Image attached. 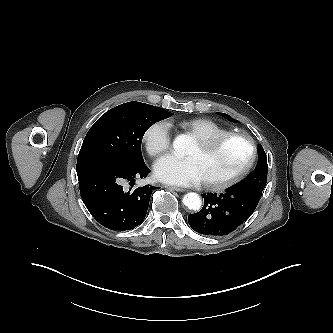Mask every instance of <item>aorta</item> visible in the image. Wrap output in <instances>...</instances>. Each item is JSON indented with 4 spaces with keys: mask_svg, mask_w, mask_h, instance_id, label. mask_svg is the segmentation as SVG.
Segmentation results:
<instances>
[{
    "mask_svg": "<svg viewBox=\"0 0 333 333\" xmlns=\"http://www.w3.org/2000/svg\"><path fill=\"white\" fill-rule=\"evenodd\" d=\"M189 145L190 138L188 135L180 134L176 136L173 141L175 155L178 157L184 156L187 152ZM183 203L190 210H199L202 205L200 196L194 192H190L184 195Z\"/></svg>",
    "mask_w": 333,
    "mask_h": 333,
    "instance_id": "obj_1",
    "label": "aorta"
}]
</instances>
